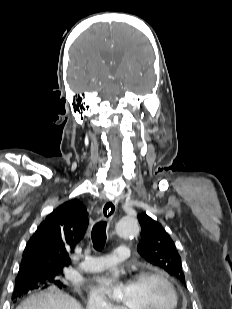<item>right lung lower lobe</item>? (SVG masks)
<instances>
[{
	"mask_svg": "<svg viewBox=\"0 0 232 309\" xmlns=\"http://www.w3.org/2000/svg\"><path fill=\"white\" fill-rule=\"evenodd\" d=\"M41 288L37 281H32L29 283L21 284L19 286H15L14 292L12 295V299H17L18 297L26 295L28 292L33 291L35 289Z\"/></svg>",
	"mask_w": 232,
	"mask_h": 309,
	"instance_id": "right-lung-lower-lobe-1",
	"label": "right lung lower lobe"
}]
</instances>
